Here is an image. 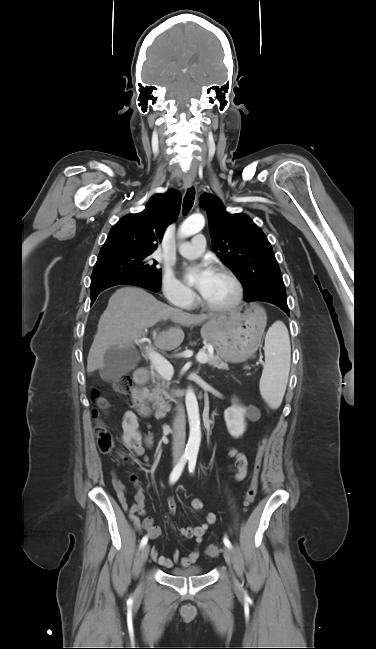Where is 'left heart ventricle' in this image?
<instances>
[{
	"label": "left heart ventricle",
	"mask_w": 376,
	"mask_h": 649,
	"mask_svg": "<svg viewBox=\"0 0 376 649\" xmlns=\"http://www.w3.org/2000/svg\"><path fill=\"white\" fill-rule=\"evenodd\" d=\"M202 295L210 304L223 305L232 300L235 295V288L226 275L214 272L212 280L202 292Z\"/></svg>",
	"instance_id": "b2bd125f"
}]
</instances>
